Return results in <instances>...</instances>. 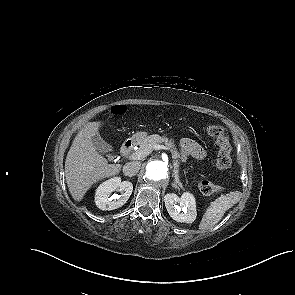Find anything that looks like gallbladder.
<instances>
[{"label":"gallbladder","mask_w":295,"mask_h":295,"mask_svg":"<svg viewBox=\"0 0 295 295\" xmlns=\"http://www.w3.org/2000/svg\"><path fill=\"white\" fill-rule=\"evenodd\" d=\"M91 140L94 147L100 153H108L113 150L112 146L108 144L105 140H103V138L99 134H95Z\"/></svg>","instance_id":"1"}]
</instances>
